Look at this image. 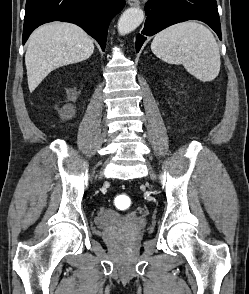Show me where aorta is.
I'll return each instance as SVG.
<instances>
[{"label":"aorta","mask_w":249,"mask_h":294,"mask_svg":"<svg viewBox=\"0 0 249 294\" xmlns=\"http://www.w3.org/2000/svg\"><path fill=\"white\" fill-rule=\"evenodd\" d=\"M144 20V12L140 8H129L119 18L118 32L126 35L135 30Z\"/></svg>","instance_id":"762f6f07"}]
</instances>
